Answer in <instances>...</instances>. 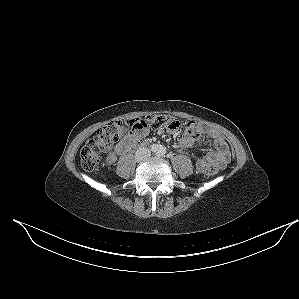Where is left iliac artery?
Wrapping results in <instances>:
<instances>
[{
  "instance_id": "1",
  "label": "left iliac artery",
  "mask_w": 299,
  "mask_h": 299,
  "mask_svg": "<svg viewBox=\"0 0 299 299\" xmlns=\"http://www.w3.org/2000/svg\"><path fill=\"white\" fill-rule=\"evenodd\" d=\"M165 154V149L164 148H160L159 150H158V152H157V155L158 156H162V155H164Z\"/></svg>"
}]
</instances>
